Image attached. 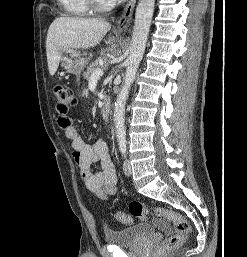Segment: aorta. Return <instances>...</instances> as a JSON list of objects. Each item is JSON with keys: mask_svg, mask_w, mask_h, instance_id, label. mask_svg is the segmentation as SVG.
Wrapping results in <instances>:
<instances>
[{"mask_svg": "<svg viewBox=\"0 0 247 257\" xmlns=\"http://www.w3.org/2000/svg\"><path fill=\"white\" fill-rule=\"evenodd\" d=\"M155 0H139L129 47V56L126 60V71L124 83L117 96L114 108V122L116 137L124 139L125 131V106L129 95V90L134 82L137 69L143 58L152 16L154 12Z\"/></svg>", "mask_w": 247, "mask_h": 257, "instance_id": "1", "label": "aorta"}]
</instances>
